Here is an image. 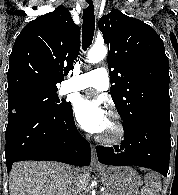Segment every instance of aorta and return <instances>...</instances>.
Instances as JSON below:
<instances>
[{"label": "aorta", "mask_w": 178, "mask_h": 195, "mask_svg": "<svg viewBox=\"0 0 178 195\" xmlns=\"http://www.w3.org/2000/svg\"><path fill=\"white\" fill-rule=\"evenodd\" d=\"M107 55V48L105 45H94L88 52L87 61L95 64L103 60Z\"/></svg>", "instance_id": "1"}]
</instances>
